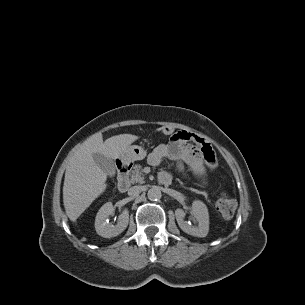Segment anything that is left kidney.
Returning <instances> with one entry per match:
<instances>
[{
    "instance_id": "obj_1",
    "label": "left kidney",
    "mask_w": 305,
    "mask_h": 305,
    "mask_svg": "<svg viewBox=\"0 0 305 305\" xmlns=\"http://www.w3.org/2000/svg\"><path fill=\"white\" fill-rule=\"evenodd\" d=\"M191 214L198 223L197 226L189 224L184 220L185 211L183 209L175 210V217L179 227L187 234L196 237H205L209 231V213L207 206L200 200H195L192 203Z\"/></svg>"
}]
</instances>
